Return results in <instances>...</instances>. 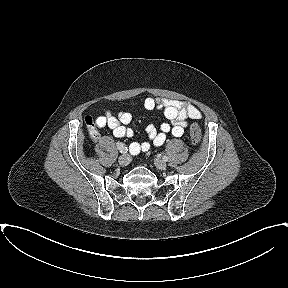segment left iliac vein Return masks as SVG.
<instances>
[{"mask_svg":"<svg viewBox=\"0 0 288 288\" xmlns=\"http://www.w3.org/2000/svg\"><path fill=\"white\" fill-rule=\"evenodd\" d=\"M154 164L158 169H161V170H165L167 167L166 162L164 160L159 159V158H156L154 160Z\"/></svg>","mask_w":288,"mask_h":288,"instance_id":"obj_1","label":"left iliac vein"}]
</instances>
